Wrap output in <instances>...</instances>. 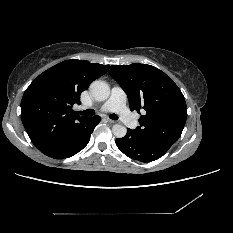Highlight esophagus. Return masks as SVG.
<instances>
[{
    "instance_id": "34e87169",
    "label": "esophagus",
    "mask_w": 233,
    "mask_h": 233,
    "mask_svg": "<svg viewBox=\"0 0 233 233\" xmlns=\"http://www.w3.org/2000/svg\"><path fill=\"white\" fill-rule=\"evenodd\" d=\"M105 120H106L108 123H110V124H114V123H115V121H113V120H111V119H109V118H105Z\"/></svg>"
}]
</instances>
